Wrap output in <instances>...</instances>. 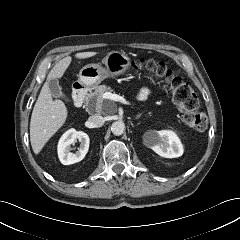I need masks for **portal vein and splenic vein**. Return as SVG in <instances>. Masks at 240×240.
Masks as SVG:
<instances>
[{"mask_svg": "<svg viewBox=\"0 0 240 240\" xmlns=\"http://www.w3.org/2000/svg\"><path fill=\"white\" fill-rule=\"evenodd\" d=\"M103 98L104 99H109V100H113V101H120V102H125V99L117 94H113L111 92H105L103 94Z\"/></svg>", "mask_w": 240, "mask_h": 240, "instance_id": "1", "label": "portal vein and splenic vein"}]
</instances>
